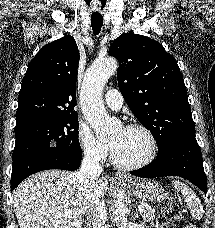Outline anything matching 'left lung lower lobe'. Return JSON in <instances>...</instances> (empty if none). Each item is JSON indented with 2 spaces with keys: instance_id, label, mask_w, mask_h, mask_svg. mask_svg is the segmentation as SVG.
<instances>
[{
  "instance_id": "0a47b994",
  "label": "left lung lower lobe",
  "mask_w": 215,
  "mask_h": 228,
  "mask_svg": "<svg viewBox=\"0 0 215 228\" xmlns=\"http://www.w3.org/2000/svg\"><path fill=\"white\" fill-rule=\"evenodd\" d=\"M130 173L143 178L180 176L207 193L206 175L195 133L170 141L159 150L155 161Z\"/></svg>"
}]
</instances>
